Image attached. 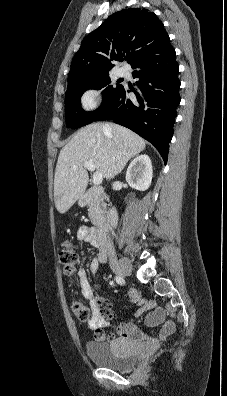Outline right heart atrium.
<instances>
[{
	"label": "right heart atrium",
	"mask_w": 227,
	"mask_h": 396,
	"mask_svg": "<svg viewBox=\"0 0 227 396\" xmlns=\"http://www.w3.org/2000/svg\"><path fill=\"white\" fill-rule=\"evenodd\" d=\"M102 103V91L98 87L87 88L80 97V104L85 112H94Z\"/></svg>",
	"instance_id": "right-heart-atrium-1"
}]
</instances>
